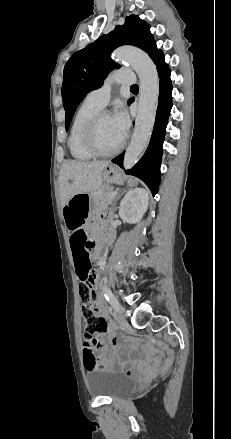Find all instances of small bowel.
I'll return each instance as SVG.
<instances>
[{
	"instance_id": "obj_1",
	"label": "small bowel",
	"mask_w": 231,
	"mask_h": 439,
	"mask_svg": "<svg viewBox=\"0 0 231 439\" xmlns=\"http://www.w3.org/2000/svg\"><path fill=\"white\" fill-rule=\"evenodd\" d=\"M77 234H81V235H85L84 231L77 229L74 231V233L71 236L70 239V245H71V250H72V255H73V259L76 265V268L78 267L79 263H89V250L91 249V247H93L94 242L93 241H88L87 238L86 240L82 241L79 245V254L76 253V244H75V240H74V236ZM105 235L110 239L113 237V234L111 232L105 233ZM94 312L102 317L108 318L109 314L108 311L106 309L105 303L102 299H99L95 305L94 308ZM119 344V339L114 336V335H109L107 337H99L96 338L95 341H87L86 343H84L83 346V351L84 354L88 351L91 352H97V351H102L105 353L110 352V347H116ZM111 367H117L118 363L116 361H113L110 364ZM152 365L151 364H147V365H142L136 369H129L127 372L129 374H141L142 372H144L146 369H151Z\"/></svg>"
}]
</instances>
